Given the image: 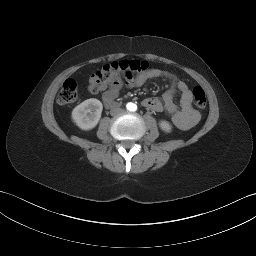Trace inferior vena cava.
<instances>
[{"label":"inferior vena cava","mask_w":256,"mask_h":256,"mask_svg":"<svg viewBox=\"0 0 256 256\" xmlns=\"http://www.w3.org/2000/svg\"><path fill=\"white\" fill-rule=\"evenodd\" d=\"M110 112H111V115H116L118 113L123 112V109H121V108H114Z\"/></svg>","instance_id":"602c4592"}]
</instances>
